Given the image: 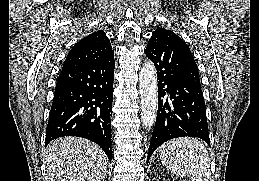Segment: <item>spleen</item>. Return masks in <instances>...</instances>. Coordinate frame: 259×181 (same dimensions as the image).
Listing matches in <instances>:
<instances>
[{"instance_id": "1", "label": "spleen", "mask_w": 259, "mask_h": 181, "mask_svg": "<svg viewBox=\"0 0 259 181\" xmlns=\"http://www.w3.org/2000/svg\"><path fill=\"white\" fill-rule=\"evenodd\" d=\"M163 165L178 177L191 181H211L210 159L204 144L197 138L169 140L159 148Z\"/></svg>"}]
</instances>
